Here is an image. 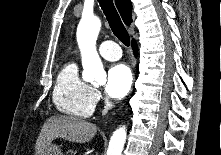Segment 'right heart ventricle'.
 I'll return each mask as SVG.
<instances>
[{
  "mask_svg": "<svg viewBox=\"0 0 221 155\" xmlns=\"http://www.w3.org/2000/svg\"><path fill=\"white\" fill-rule=\"evenodd\" d=\"M53 102L57 110L66 115L87 118L93 113V89L80 77L74 62L65 64L58 73Z\"/></svg>",
  "mask_w": 221,
  "mask_h": 155,
  "instance_id": "obj_1",
  "label": "right heart ventricle"
}]
</instances>
